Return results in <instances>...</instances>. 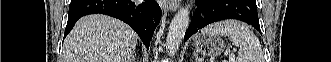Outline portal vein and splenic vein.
<instances>
[{"label": "portal vein and splenic vein", "mask_w": 331, "mask_h": 62, "mask_svg": "<svg viewBox=\"0 0 331 62\" xmlns=\"http://www.w3.org/2000/svg\"><path fill=\"white\" fill-rule=\"evenodd\" d=\"M235 56L233 54H229V62H234Z\"/></svg>", "instance_id": "obj_1"}]
</instances>
